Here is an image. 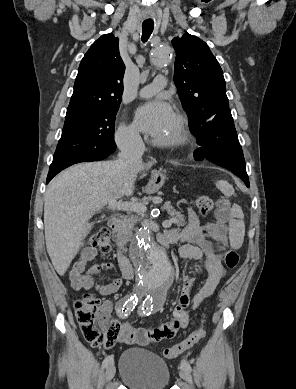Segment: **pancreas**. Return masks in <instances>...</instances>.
I'll return each mask as SVG.
<instances>
[{
    "label": "pancreas",
    "instance_id": "pancreas-1",
    "mask_svg": "<svg viewBox=\"0 0 296 389\" xmlns=\"http://www.w3.org/2000/svg\"><path fill=\"white\" fill-rule=\"evenodd\" d=\"M162 209L167 211L173 224L177 226H184L186 224L184 215L175 210L169 203H165L162 206ZM138 221H140L138 213H129V215L125 216L120 222L116 232L122 247L130 241L134 226Z\"/></svg>",
    "mask_w": 296,
    "mask_h": 389
}]
</instances>
